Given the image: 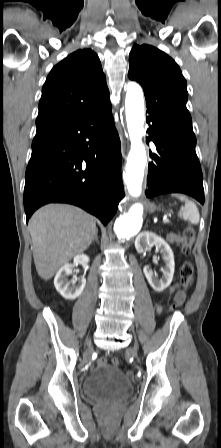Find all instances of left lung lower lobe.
Returning a JSON list of instances; mask_svg holds the SVG:
<instances>
[{
  "label": "left lung lower lobe",
  "mask_w": 221,
  "mask_h": 448,
  "mask_svg": "<svg viewBox=\"0 0 221 448\" xmlns=\"http://www.w3.org/2000/svg\"><path fill=\"white\" fill-rule=\"evenodd\" d=\"M147 142L153 141L158 154L148 166L147 197L185 193L204 204L202 171L195 152L196 138L160 118L147 116Z\"/></svg>",
  "instance_id": "obj_1"
}]
</instances>
